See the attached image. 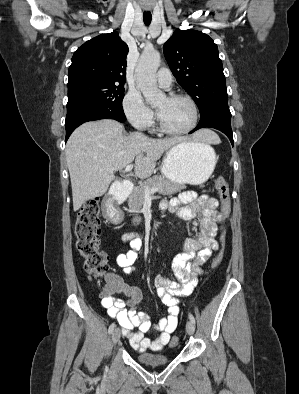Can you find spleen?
<instances>
[{
  "label": "spleen",
  "mask_w": 299,
  "mask_h": 394,
  "mask_svg": "<svg viewBox=\"0 0 299 394\" xmlns=\"http://www.w3.org/2000/svg\"><path fill=\"white\" fill-rule=\"evenodd\" d=\"M209 146V148H210V150H211V152L213 151V148L212 147H210V145H208Z\"/></svg>",
  "instance_id": "1"
}]
</instances>
